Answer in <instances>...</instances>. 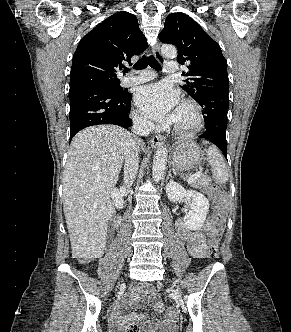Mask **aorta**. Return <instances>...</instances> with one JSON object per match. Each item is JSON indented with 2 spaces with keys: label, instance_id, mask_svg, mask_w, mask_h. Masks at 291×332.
<instances>
[{
  "label": "aorta",
  "instance_id": "1",
  "mask_svg": "<svg viewBox=\"0 0 291 332\" xmlns=\"http://www.w3.org/2000/svg\"><path fill=\"white\" fill-rule=\"evenodd\" d=\"M161 53L166 58H175L177 49L173 45L165 44L161 47ZM167 164V149L160 146L155 152L152 167V177L154 182H159L165 173Z\"/></svg>",
  "mask_w": 291,
  "mask_h": 332
}]
</instances>
